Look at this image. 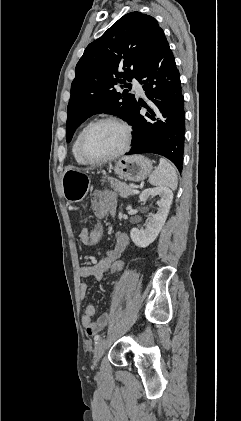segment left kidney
Masks as SVG:
<instances>
[{
	"mask_svg": "<svg viewBox=\"0 0 241 421\" xmlns=\"http://www.w3.org/2000/svg\"><path fill=\"white\" fill-rule=\"evenodd\" d=\"M159 195L157 213L148 217L145 229L132 228L130 237L133 243L141 248L149 246L158 236L167 219L173 200V192L168 187H156L145 189L139 196L141 202H146L149 197Z\"/></svg>",
	"mask_w": 241,
	"mask_h": 421,
	"instance_id": "obj_1",
	"label": "left kidney"
}]
</instances>
